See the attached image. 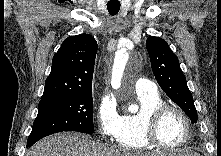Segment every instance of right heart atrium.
I'll list each match as a JSON object with an SVG mask.
<instances>
[{"mask_svg":"<svg viewBox=\"0 0 221 156\" xmlns=\"http://www.w3.org/2000/svg\"><path fill=\"white\" fill-rule=\"evenodd\" d=\"M95 118L100 135L107 140L115 139L119 128L120 115L117 111V103L110 94L103 93L100 96Z\"/></svg>","mask_w":221,"mask_h":156,"instance_id":"d8ad5b80","label":"right heart atrium"}]
</instances>
